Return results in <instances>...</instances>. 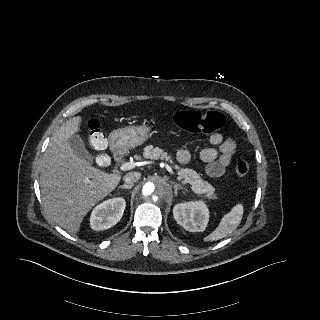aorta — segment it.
I'll return each mask as SVG.
<instances>
[{"instance_id": "762f6f07", "label": "aorta", "mask_w": 320, "mask_h": 320, "mask_svg": "<svg viewBox=\"0 0 320 320\" xmlns=\"http://www.w3.org/2000/svg\"><path fill=\"white\" fill-rule=\"evenodd\" d=\"M169 193L170 185L158 176L149 179L141 188L142 198L147 204L157 205L164 201Z\"/></svg>"}]
</instances>
